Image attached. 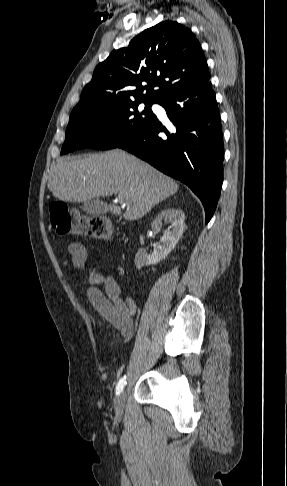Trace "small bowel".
Listing matches in <instances>:
<instances>
[{
    "label": "small bowel",
    "mask_w": 287,
    "mask_h": 486,
    "mask_svg": "<svg viewBox=\"0 0 287 486\" xmlns=\"http://www.w3.org/2000/svg\"><path fill=\"white\" fill-rule=\"evenodd\" d=\"M96 245L81 242H72L67 251L73 266L82 270L86 266L88 251ZM103 285L104 290L98 288ZM87 297L97 312L115 327L125 338L130 337L134 331L133 316L137 305L132 297H123L117 280L109 274L98 272L89 280L86 290Z\"/></svg>",
    "instance_id": "obj_1"
}]
</instances>
